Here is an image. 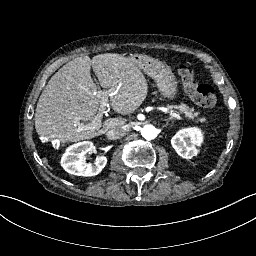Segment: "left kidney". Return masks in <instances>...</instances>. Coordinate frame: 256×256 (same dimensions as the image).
<instances>
[{
    "mask_svg": "<svg viewBox=\"0 0 256 256\" xmlns=\"http://www.w3.org/2000/svg\"><path fill=\"white\" fill-rule=\"evenodd\" d=\"M202 134L198 129L190 128L180 130L171 140V145L177 154L186 159L197 155L196 145H200Z\"/></svg>",
    "mask_w": 256,
    "mask_h": 256,
    "instance_id": "1",
    "label": "left kidney"
}]
</instances>
